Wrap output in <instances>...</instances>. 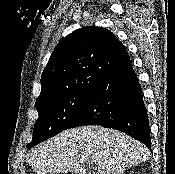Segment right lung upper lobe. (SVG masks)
Wrapping results in <instances>:
<instances>
[{"label": "right lung upper lobe", "mask_w": 175, "mask_h": 174, "mask_svg": "<svg viewBox=\"0 0 175 174\" xmlns=\"http://www.w3.org/2000/svg\"><path fill=\"white\" fill-rule=\"evenodd\" d=\"M130 62L115 35L102 27H84L61 40L41 76L36 102L88 85Z\"/></svg>", "instance_id": "1"}]
</instances>
